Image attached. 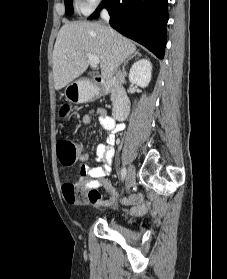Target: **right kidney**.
<instances>
[{"label": "right kidney", "mask_w": 227, "mask_h": 279, "mask_svg": "<svg viewBox=\"0 0 227 279\" xmlns=\"http://www.w3.org/2000/svg\"><path fill=\"white\" fill-rule=\"evenodd\" d=\"M152 65L148 59L135 62L129 72V81L140 87H146L151 80Z\"/></svg>", "instance_id": "right-kidney-1"}]
</instances>
